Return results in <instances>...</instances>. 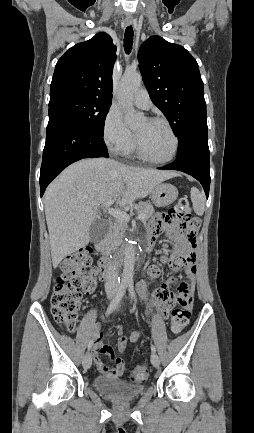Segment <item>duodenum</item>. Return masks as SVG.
I'll use <instances>...</instances> for the list:
<instances>
[{
  "instance_id": "duodenum-1",
  "label": "duodenum",
  "mask_w": 254,
  "mask_h": 433,
  "mask_svg": "<svg viewBox=\"0 0 254 433\" xmlns=\"http://www.w3.org/2000/svg\"><path fill=\"white\" fill-rule=\"evenodd\" d=\"M142 245H143L145 250L150 249V247L152 245V241L149 238H147L143 241ZM97 248L100 251L104 250L103 246L100 244L97 245ZM114 264H116L118 266L121 265L119 256H113V257L104 256L101 258L100 271H101V275L103 278H105L108 275V273L111 271Z\"/></svg>"
}]
</instances>
